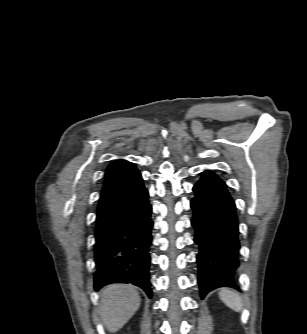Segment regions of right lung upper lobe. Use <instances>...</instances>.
Wrapping results in <instances>:
<instances>
[{
	"instance_id": "right-lung-upper-lobe-1",
	"label": "right lung upper lobe",
	"mask_w": 307,
	"mask_h": 334,
	"mask_svg": "<svg viewBox=\"0 0 307 334\" xmlns=\"http://www.w3.org/2000/svg\"><path fill=\"white\" fill-rule=\"evenodd\" d=\"M139 171L136 166L126 160L112 162L105 174V182L102 189L101 197L110 194L118 188L124 186L132 178L137 176Z\"/></svg>"
}]
</instances>
